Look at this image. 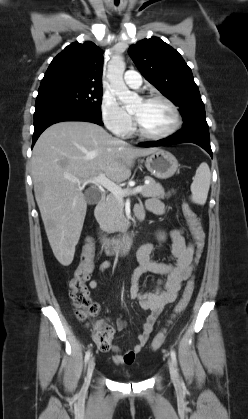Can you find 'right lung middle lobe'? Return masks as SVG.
<instances>
[{
    "instance_id": "dd1d6c3e",
    "label": "right lung middle lobe",
    "mask_w": 248,
    "mask_h": 419,
    "mask_svg": "<svg viewBox=\"0 0 248 419\" xmlns=\"http://www.w3.org/2000/svg\"><path fill=\"white\" fill-rule=\"evenodd\" d=\"M102 89L85 87H51L40 89L35 109L55 106H74L101 117Z\"/></svg>"
}]
</instances>
